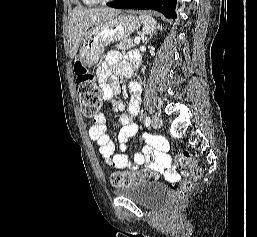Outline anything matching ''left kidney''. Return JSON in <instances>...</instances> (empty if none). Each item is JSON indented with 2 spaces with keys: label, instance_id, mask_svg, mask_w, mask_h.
I'll return each mask as SVG.
<instances>
[{
  "label": "left kidney",
  "instance_id": "obj_1",
  "mask_svg": "<svg viewBox=\"0 0 257 237\" xmlns=\"http://www.w3.org/2000/svg\"><path fill=\"white\" fill-rule=\"evenodd\" d=\"M144 70H145V67L142 69V71L144 72Z\"/></svg>",
  "mask_w": 257,
  "mask_h": 237
}]
</instances>
